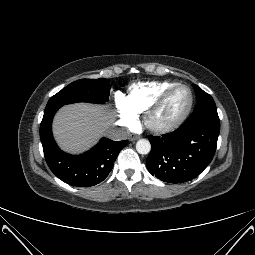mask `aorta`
<instances>
[{"mask_svg":"<svg viewBox=\"0 0 255 255\" xmlns=\"http://www.w3.org/2000/svg\"><path fill=\"white\" fill-rule=\"evenodd\" d=\"M136 150L139 154L146 155L151 151V144L147 139H140L136 143Z\"/></svg>","mask_w":255,"mask_h":255,"instance_id":"aorta-1","label":"aorta"}]
</instances>
